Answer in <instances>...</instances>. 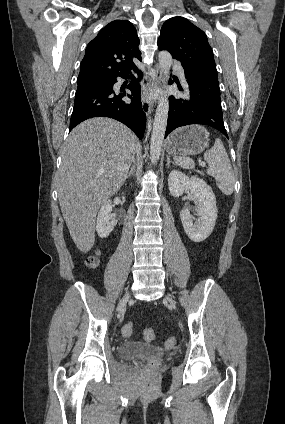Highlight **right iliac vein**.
<instances>
[{
  "label": "right iliac vein",
  "mask_w": 285,
  "mask_h": 424,
  "mask_svg": "<svg viewBox=\"0 0 285 424\" xmlns=\"http://www.w3.org/2000/svg\"><path fill=\"white\" fill-rule=\"evenodd\" d=\"M130 297L131 296H130L129 293H126L124 295V297L122 298V300L119 303V310H122L126 306V303L129 301Z\"/></svg>",
  "instance_id": "63e3f726"
}]
</instances>
